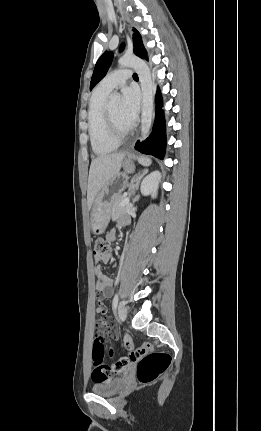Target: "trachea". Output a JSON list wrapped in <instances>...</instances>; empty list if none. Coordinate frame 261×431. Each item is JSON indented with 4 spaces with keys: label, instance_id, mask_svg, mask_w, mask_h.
Returning a JSON list of instances; mask_svg holds the SVG:
<instances>
[{
    "label": "trachea",
    "instance_id": "trachea-1",
    "mask_svg": "<svg viewBox=\"0 0 261 431\" xmlns=\"http://www.w3.org/2000/svg\"><path fill=\"white\" fill-rule=\"evenodd\" d=\"M134 79H138V75L136 73L133 74Z\"/></svg>",
    "mask_w": 261,
    "mask_h": 431
}]
</instances>
